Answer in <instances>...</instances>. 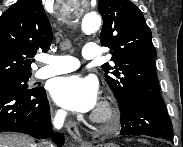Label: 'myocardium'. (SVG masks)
I'll return each instance as SVG.
<instances>
[{"label":"myocardium","instance_id":"1","mask_svg":"<svg viewBox=\"0 0 183 147\" xmlns=\"http://www.w3.org/2000/svg\"><path fill=\"white\" fill-rule=\"evenodd\" d=\"M91 119L98 124H108L119 119V112L114 103L104 100L94 110Z\"/></svg>","mask_w":183,"mask_h":147}]
</instances>
